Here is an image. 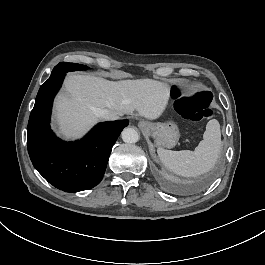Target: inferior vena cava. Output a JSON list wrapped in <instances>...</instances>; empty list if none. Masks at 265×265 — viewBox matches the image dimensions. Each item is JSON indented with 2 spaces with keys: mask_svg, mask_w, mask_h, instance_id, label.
<instances>
[{
  "mask_svg": "<svg viewBox=\"0 0 265 265\" xmlns=\"http://www.w3.org/2000/svg\"><path fill=\"white\" fill-rule=\"evenodd\" d=\"M97 115L101 120H117L119 118L116 113L111 112L107 109L98 111Z\"/></svg>",
  "mask_w": 265,
  "mask_h": 265,
  "instance_id": "inferior-vena-cava-1",
  "label": "inferior vena cava"
}]
</instances>
